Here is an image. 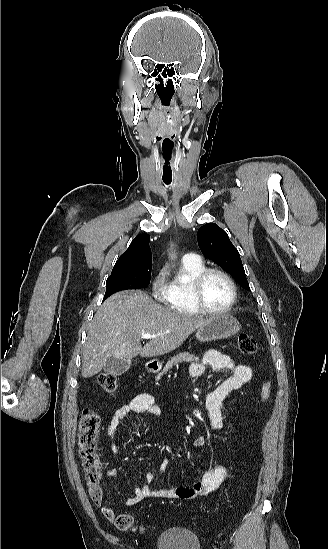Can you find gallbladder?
Masks as SVG:
<instances>
[{"label":"gallbladder","instance_id":"bac80fb5","mask_svg":"<svg viewBox=\"0 0 328 549\" xmlns=\"http://www.w3.org/2000/svg\"><path fill=\"white\" fill-rule=\"evenodd\" d=\"M133 361L134 359H113V357H108L105 361L104 371L106 375H124L132 367ZM135 363H139V361L135 359Z\"/></svg>","mask_w":328,"mask_h":549}]
</instances>
